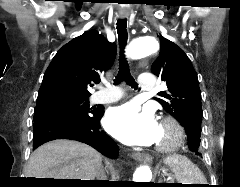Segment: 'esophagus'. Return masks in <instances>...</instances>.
I'll return each mask as SVG.
<instances>
[{
  "label": "esophagus",
  "instance_id": "obj_1",
  "mask_svg": "<svg viewBox=\"0 0 240 187\" xmlns=\"http://www.w3.org/2000/svg\"><path fill=\"white\" fill-rule=\"evenodd\" d=\"M122 19L126 18V16H120ZM132 157L138 162L150 163L152 161V157L149 154L143 153L141 151L132 152Z\"/></svg>",
  "mask_w": 240,
  "mask_h": 187
}]
</instances>
